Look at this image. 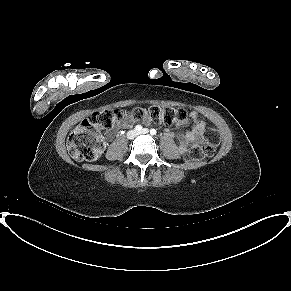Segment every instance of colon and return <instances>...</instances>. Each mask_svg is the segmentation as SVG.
Masks as SVG:
<instances>
[{
  "label": "colon",
  "mask_w": 291,
  "mask_h": 291,
  "mask_svg": "<svg viewBox=\"0 0 291 291\" xmlns=\"http://www.w3.org/2000/svg\"><path fill=\"white\" fill-rule=\"evenodd\" d=\"M125 113L121 109H104L84 119L69 135L67 148L77 161H94L102 150L100 132L112 129ZM134 120H150L157 123L174 124L186 120L184 110L151 106L149 108H134L131 112ZM220 135L214 128H207L201 144L192 146L186 153L187 161H199L211 156L219 145Z\"/></svg>",
  "instance_id": "1"
}]
</instances>
